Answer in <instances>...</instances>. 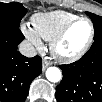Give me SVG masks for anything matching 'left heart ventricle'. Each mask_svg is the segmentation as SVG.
<instances>
[{
    "label": "left heart ventricle",
    "instance_id": "obj_1",
    "mask_svg": "<svg viewBox=\"0 0 102 102\" xmlns=\"http://www.w3.org/2000/svg\"><path fill=\"white\" fill-rule=\"evenodd\" d=\"M89 27L86 22L77 23L60 43L58 50L63 55H73L80 50L87 39Z\"/></svg>",
    "mask_w": 102,
    "mask_h": 102
}]
</instances>
